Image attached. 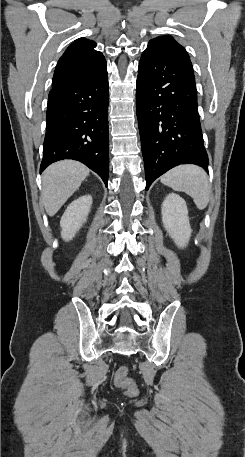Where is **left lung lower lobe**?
<instances>
[{
    "label": "left lung lower lobe",
    "mask_w": 245,
    "mask_h": 457,
    "mask_svg": "<svg viewBox=\"0 0 245 457\" xmlns=\"http://www.w3.org/2000/svg\"><path fill=\"white\" fill-rule=\"evenodd\" d=\"M136 111L146 190L156 178L180 164H195L208 172L195 76L175 41H158L142 53Z\"/></svg>",
    "instance_id": "left-lung-lower-lobe-1"
}]
</instances>
